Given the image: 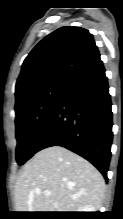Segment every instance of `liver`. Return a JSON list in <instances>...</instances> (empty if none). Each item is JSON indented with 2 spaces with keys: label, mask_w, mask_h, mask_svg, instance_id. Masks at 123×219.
Returning a JSON list of instances; mask_svg holds the SVG:
<instances>
[{
  "label": "liver",
  "mask_w": 123,
  "mask_h": 219,
  "mask_svg": "<svg viewBox=\"0 0 123 219\" xmlns=\"http://www.w3.org/2000/svg\"><path fill=\"white\" fill-rule=\"evenodd\" d=\"M51 195L46 196L45 191ZM16 212H78L102 206L105 181L81 156L60 146L36 153L23 167L14 188Z\"/></svg>",
  "instance_id": "obj_1"
}]
</instances>
